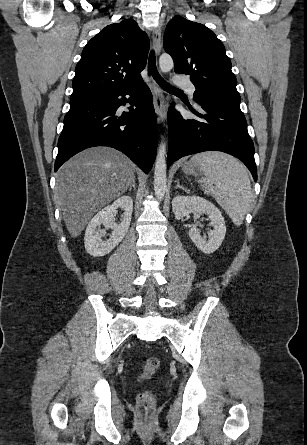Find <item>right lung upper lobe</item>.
Returning <instances> with one entry per match:
<instances>
[{
  "label": "right lung upper lobe",
  "mask_w": 307,
  "mask_h": 445,
  "mask_svg": "<svg viewBox=\"0 0 307 445\" xmlns=\"http://www.w3.org/2000/svg\"><path fill=\"white\" fill-rule=\"evenodd\" d=\"M149 39L132 19L105 27L83 49L70 100L128 87L142 81ZM125 72L126 74H123Z\"/></svg>",
  "instance_id": "1"
}]
</instances>
